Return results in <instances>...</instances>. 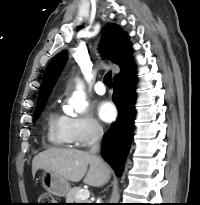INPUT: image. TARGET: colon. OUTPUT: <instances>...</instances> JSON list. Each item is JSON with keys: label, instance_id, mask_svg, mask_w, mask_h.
Listing matches in <instances>:
<instances>
[{"label": "colon", "instance_id": "5ec220e1", "mask_svg": "<svg viewBox=\"0 0 200 205\" xmlns=\"http://www.w3.org/2000/svg\"><path fill=\"white\" fill-rule=\"evenodd\" d=\"M53 197L48 193H43L39 196L38 205H53Z\"/></svg>", "mask_w": 200, "mask_h": 205}]
</instances>
